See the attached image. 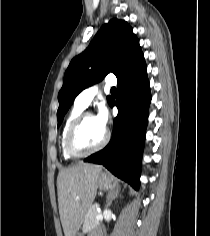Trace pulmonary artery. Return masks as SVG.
<instances>
[{"instance_id": "obj_1", "label": "pulmonary artery", "mask_w": 210, "mask_h": 236, "mask_svg": "<svg viewBox=\"0 0 210 236\" xmlns=\"http://www.w3.org/2000/svg\"><path fill=\"white\" fill-rule=\"evenodd\" d=\"M117 83V80L115 78L114 75H108L106 76V78L104 79V84L108 87H112L115 86ZM99 90V86L98 85H94L91 86L85 90H83L76 98L75 103L79 106H81L82 108H86L91 101L93 100V98L96 96V94L98 93Z\"/></svg>"}]
</instances>
